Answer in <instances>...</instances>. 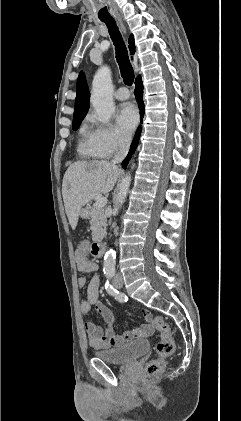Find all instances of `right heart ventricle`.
<instances>
[{
	"label": "right heart ventricle",
	"instance_id": "right-heart-ventricle-1",
	"mask_svg": "<svg viewBox=\"0 0 241 421\" xmlns=\"http://www.w3.org/2000/svg\"><path fill=\"white\" fill-rule=\"evenodd\" d=\"M79 153L86 158H99V154L93 144L91 132L88 131L86 125L80 129V140L78 144Z\"/></svg>",
	"mask_w": 241,
	"mask_h": 421
}]
</instances>
